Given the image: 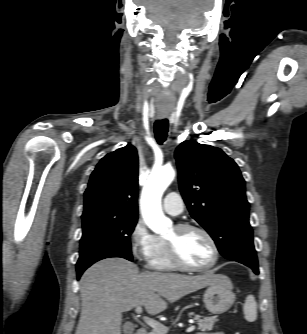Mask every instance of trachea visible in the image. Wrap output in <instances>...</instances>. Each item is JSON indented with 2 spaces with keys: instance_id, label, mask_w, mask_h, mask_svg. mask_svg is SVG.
I'll return each instance as SVG.
<instances>
[{
  "instance_id": "obj_1",
  "label": "trachea",
  "mask_w": 307,
  "mask_h": 334,
  "mask_svg": "<svg viewBox=\"0 0 307 334\" xmlns=\"http://www.w3.org/2000/svg\"><path fill=\"white\" fill-rule=\"evenodd\" d=\"M154 132L157 142L161 145L167 138L168 133V120L160 119L156 120L154 124Z\"/></svg>"
}]
</instances>
